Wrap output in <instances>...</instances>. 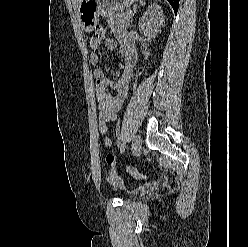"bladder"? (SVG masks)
<instances>
[{"mask_svg":"<svg viewBox=\"0 0 248 247\" xmlns=\"http://www.w3.org/2000/svg\"><path fill=\"white\" fill-rule=\"evenodd\" d=\"M111 183L114 186V188L117 189V190H124V191H127L129 193L136 192V190L127 189L125 184H124V181H123L122 177L117 173L114 174Z\"/></svg>","mask_w":248,"mask_h":247,"instance_id":"obj_1","label":"bladder"}]
</instances>
